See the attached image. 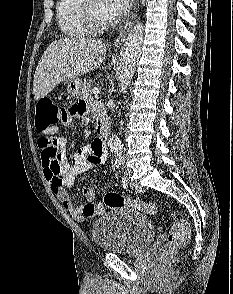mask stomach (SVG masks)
<instances>
[{"instance_id": "stomach-1", "label": "stomach", "mask_w": 233, "mask_h": 294, "mask_svg": "<svg viewBox=\"0 0 233 294\" xmlns=\"http://www.w3.org/2000/svg\"><path fill=\"white\" fill-rule=\"evenodd\" d=\"M68 96L71 98H79L81 95L82 82L79 78H70L65 80Z\"/></svg>"}]
</instances>
